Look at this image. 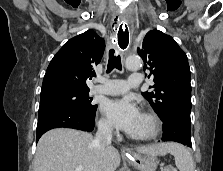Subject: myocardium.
Returning <instances> with one entry per match:
<instances>
[{"label":"myocardium","mask_w":223,"mask_h":171,"mask_svg":"<svg viewBox=\"0 0 223 171\" xmlns=\"http://www.w3.org/2000/svg\"><path fill=\"white\" fill-rule=\"evenodd\" d=\"M144 117L150 120L152 124V131L147 135L142 136H136L129 134V138L135 140V141H150L155 139L161 132L162 129V123L160 118L152 111H143L141 113Z\"/></svg>","instance_id":"myocardium-1"}]
</instances>
